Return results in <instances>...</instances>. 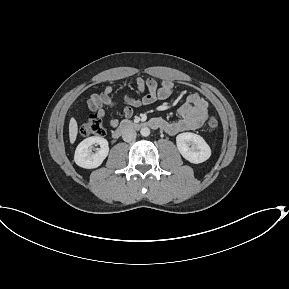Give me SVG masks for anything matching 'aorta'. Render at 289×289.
I'll list each match as a JSON object with an SVG mask.
<instances>
[{
	"label": "aorta",
	"instance_id": "obj_1",
	"mask_svg": "<svg viewBox=\"0 0 289 289\" xmlns=\"http://www.w3.org/2000/svg\"><path fill=\"white\" fill-rule=\"evenodd\" d=\"M140 134L144 137H147L150 135V129L148 127H143L140 130Z\"/></svg>",
	"mask_w": 289,
	"mask_h": 289
}]
</instances>
